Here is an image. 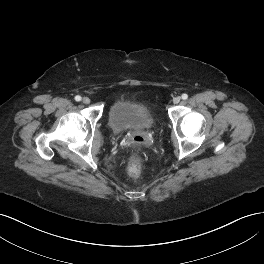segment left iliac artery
Returning a JSON list of instances; mask_svg holds the SVG:
<instances>
[{"label": "left iliac artery", "instance_id": "left-iliac-artery-1", "mask_svg": "<svg viewBox=\"0 0 264 264\" xmlns=\"http://www.w3.org/2000/svg\"><path fill=\"white\" fill-rule=\"evenodd\" d=\"M187 98H188V95H187V94H185V93L182 94V99H183V100H186Z\"/></svg>", "mask_w": 264, "mask_h": 264}]
</instances>
